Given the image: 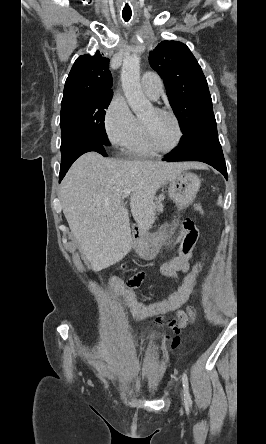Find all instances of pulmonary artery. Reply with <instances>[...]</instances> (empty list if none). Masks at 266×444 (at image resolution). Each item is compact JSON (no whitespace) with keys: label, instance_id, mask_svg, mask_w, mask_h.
I'll return each mask as SVG.
<instances>
[{"label":"pulmonary artery","instance_id":"pulmonary-artery-1","mask_svg":"<svg viewBox=\"0 0 266 444\" xmlns=\"http://www.w3.org/2000/svg\"><path fill=\"white\" fill-rule=\"evenodd\" d=\"M141 85L146 95L152 99H157L162 92V80L155 72H145L141 79Z\"/></svg>","mask_w":266,"mask_h":444}]
</instances>
